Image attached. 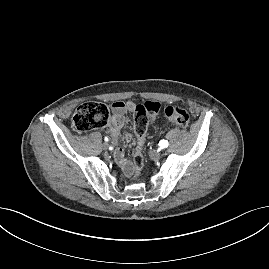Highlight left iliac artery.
<instances>
[{
    "mask_svg": "<svg viewBox=\"0 0 269 269\" xmlns=\"http://www.w3.org/2000/svg\"><path fill=\"white\" fill-rule=\"evenodd\" d=\"M159 145L161 148H166V147H168L169 143L167 140H161Z\"/></svg>",
    "mask_w": 269,
    "mask_h": 269,
    "instance_id": "obj_1",
    "label": "left iliac artery"
}]
</instances>
